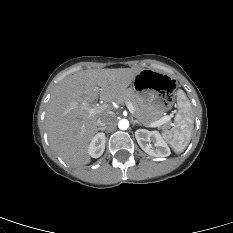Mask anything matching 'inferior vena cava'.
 <instances>
[{"label": "inferior vena cava", "mask_w": 233, "mask_h": 233, "mask_svg": "<svg viewBox=\"0 0 233 233\" xmlns=\"http://www.w3.org/2000/svg\"><path fill=\"white\" fill-rule=\"evenodd\" d=\"M113 117L114 116L110 114L104 115L97 120V125L100 127H106L113 122Z\"/></svg>", "instance_id": "inferior-vena-cava-1"}]
</instances>
